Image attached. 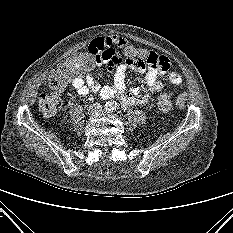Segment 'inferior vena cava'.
<instances>
[{
	"instance_id": "1",
	"label": "inferior vena cava",
	"mask_w": 233,
	"mask_h": 233,
	"mask_svg": "<svg viewBox=\"0 0 233 233\" xmlns=\"http://www.w3.org/2000/svg\"><path fill=\"white\" fill-rule=\"evenodd\" d=\"M90 109H91V112H96V111H101V105L100 104H98V103H96V104H94V105H91L90 106Z\"/></svg>"
}]
</instances>
